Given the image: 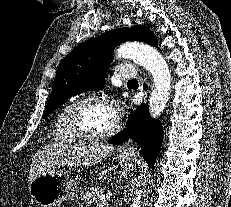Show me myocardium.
I'll list each match as a JSON object with an SVG mask.
<instances>
[{"instance_id": "obj_1", "label": "myocardium", "mask_w": 231, "mask_h": 207, "mask_svg": "<svg viewBox=\"0 0 231 207\" xmlns=\"http://www.w3.org/2000/svg\"><path fill=\"white\" fill-rule=\"evenodd\" d=\"M89 103H101L110 106L108 99L105 96L91 94L87 96H83L77 99L69 109L68 112V124L71 131L77 136L78 139L87 141V142H98L106 140L112 136H114L121 127V122L118 117L113 124V126L103 133L93 134L86 130L79 121V111L80 109Z\"/></svg>"}]
</instances>
